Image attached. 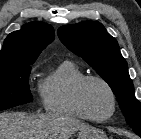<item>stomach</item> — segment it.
Instances as JSON below:
<instances>
[{
	"label": "stomach",
	"instance_id": "obj_1",
	"mask_svg": "<svg viewBox=\"0 0 141 139\" xmlns=\"http://www.w3.org/2000/svg\"><path fill=\"white\" fill-rule=\"evenodd\" d=\"M77 139H108V138L102 131L93 127H88L79 131Z\"/></svg>",
	"mask_w": 141,
	"mask_h": 139
}]
</instances>
